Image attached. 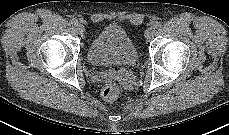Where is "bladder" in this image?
Wrapping results in <instances>:
<instances>
[{"label":"bladder","instance_id":"obj_1","mask_svg":"<svg viewBox=\"0 0 229 135\" xmlns=\"http://www.w3.org/2000/svg\"><path fill=\"white\" fill-rule=\"evenodd\" d=\"M87 59L95 66H131L138 61V51L121 25L108 24L90 42Z\"/></svg>","mask_w":229,"mask_h":135}]
</instances>
